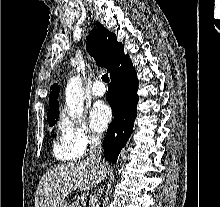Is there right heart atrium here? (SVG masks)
<instances>
[{"mask_svg":"<svg viewBox=\"0 0 220 207\" xmlns=\"http://www.w3.org/2000/svg\"><path fill=\"white\" fill-rule=\"evenodd\" d=\"M58 127L64 142L82 154L101 141L100 135L90 130L83 118L70 119L62 116Z\"/></svg>","mask_w":220,"mask_h":207,"instance_id":"d8ad5b80","label":"right heart atrium"}]
</instances>
